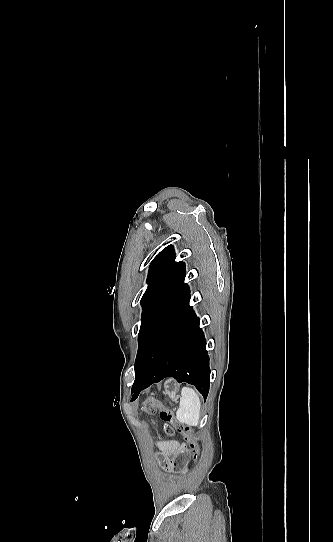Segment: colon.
<instances>
[{"instance_id": "5ec220e1", "label": "colon", "mask_w": 333, "mask_h": 542, "mask_svg": "<svg viewBox=\"0 0 333 542\" xmlns=\"http://www.w3.org/2000/svg\"><path fill=\"white\" fill-rule=\"evenodd\" d=\"M158 405L159 404L153 398H149L145 402L144 409L148 413H152L155 411ZM160 412H161L160 414L161 420L165 423L166 432L169 433L170 435H175V434L183 435L186 438V440L189 442L190 447L193 451V454L197 455L199 451V444L193 431L189 429L188 427H186L185 425H183L182 423L174 421V416L172 412H170L169 410L163 408L161 409ZM184 456H185L184 451L181 449H178L175 451L174 456L162 457L161 465L166 470H178L182 465V459L184 458Z\"/></svg>"}]
</instances>
